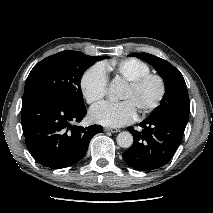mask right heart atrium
I'll list each match as a JSON object with an SVG mask.
<instances>
[{
	"label": "right heart atrium",
	"mask_w": 213,
	"mask_h": 213,
	"mask_svg": "<svg viewBox=\"0 0 213 213\" xmlns=\"http://www.w3.org/2000/svg\"><path fill=\"white\" fill-rule=\"evenodd\" d=\"M108 76L100 64L90 66L82 75L80 89L89 104L103 99L107 93Z\"/></svg>",
	"instance_id": "d8ad5b80"
}]
</instances>
